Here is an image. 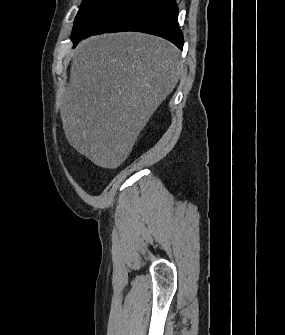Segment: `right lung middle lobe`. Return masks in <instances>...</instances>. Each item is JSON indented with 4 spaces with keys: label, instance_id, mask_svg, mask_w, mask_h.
Here are the masks:
<instances>
[{
    "label": "right lung middle lobe",
    "instance_id": "right-lung-middle-lobe-1",
    "mask_svg": "<svg viewBox=\"0 0 285 335\" xmlns=\"http://www.w3.org/2000/svg\"><path fill=\"white\" fill-rule=\"evenodd\" d=\"M120 0H83L74 21L72 41L78 43L88 29Z\"/></svg>",
    "mask_w": 285,
    "mask_h": 335
}]
</instances>
